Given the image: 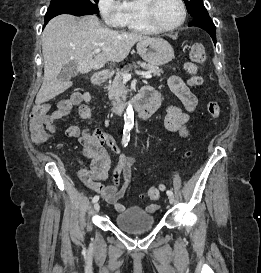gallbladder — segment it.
Returning <instances> with one entry per match:
<instances>
[{
  "mask_svg": "<svg viewBox=\"0 0 261 273\" xmlns=\"http://www.w3.org/2000/svg\"><path fill=\"white\" fill-rule=\"evenodd\" d=\"M76 69H77V64L75 62H70L66 64L61 69L58 75V79L62 81L70 80L72 77H75L78 74Z\"/></svg>",
  "mask_w": 261,
  "mask_h": 273,
  "instance_id": "obj_1",
  "label": "gallbladder"
}]
</instances>
